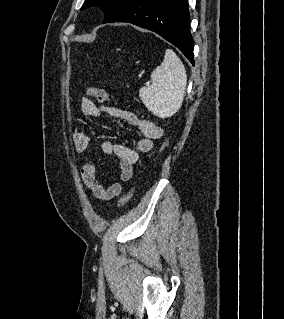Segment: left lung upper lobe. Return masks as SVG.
Masks as SVG:
<instances>
[{"mask_svg":"<svg viewBox=\"0 0 284 319\" xmlns=\"http://www.w3.org/2000/svg\"><path fill=\"white\" fill-rule=\"evenodd\" d=\"M125 1L126 0H85L81 10L91 6H99L104 10V23H106L113 15L117 13Z\"/></svg>","mask_w":284,"mask_h":319,"instance_id":"obj_1","label":"left lung upper lobe"}]
</instances>
